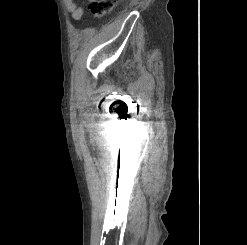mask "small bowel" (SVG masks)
<instances>
[{"instance_id": "small-bowel-1", "label": "small bowel", "mask_w": 247, "mask_h": 245, "mask_svg": "<svg viewBox=\"0 0 247 245\" xmlns=\"http://www.w3.org/2000/svg\"><path fill=\"white\" fill-rule=\"evenodd\" d=\"M66 9L71 13L74 20H80L84 16V8L78 6L74 0H63Z\"/></svg>"}]
</instances>
